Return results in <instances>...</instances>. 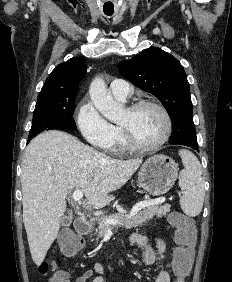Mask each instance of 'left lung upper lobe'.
<instances>
[{
  "instance_id": "1",
  "label": "left lung upper lobe",
  "mask_w": 232,
  "mask_h": 282,
  "mask_svg": "<svg viewBox=\"0 0 232 282\" xmlns=\"http://www.w3.org/2000/svg\"><path fill=\"white\" fill-rule=\"evenodd\" d=\"M120 74L142 90L155 95L173 122V136L197 144L192 102L184 68L172 55L148 48L118 64Z\"/></svg>"
}]
</instances>
